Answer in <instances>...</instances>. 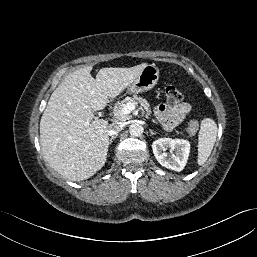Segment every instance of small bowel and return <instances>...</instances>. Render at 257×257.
Masks as SVG:
<instances>
[{"mask_svg": "<svg viewBox=\"0 0 257 257\" xmlns=\"http://www.w3.org/2000/svg\"><path fill=\"white\" fill-rule=\"evenodd\" d=\"M188 103H178L175 105H159L155 109V114L163 126L171 130L180 123L190 112Z\"/></svg>", "mask_w": 257, "mask_h": 257, "instance_id": "obj_1", "label": "small bowel"}]
</instances>
